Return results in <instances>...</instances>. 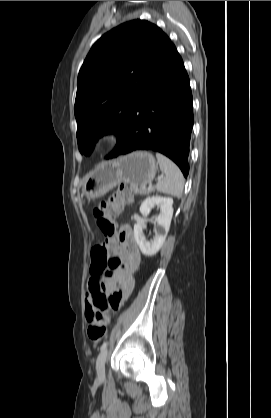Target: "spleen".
Wrapping results in <instances>:
<instances>
[{
    "mask_svg": "<svg viewBox=\"0 0 271 418\" xmlns=\"http://www.w3.org/2000/svg\"><path fill=\"white\" fill-rule=\"evenodd\" d=\"M160 169L164 176L157 182V191L175 197H181L184 188V177L178 166L166 156L156 154Z\"/></svg>",
    "mask_w": 271,
    "mask_h": 418,
    "instance_id": "spleen-1",
    "label": "spleen"
}]
</instances>
